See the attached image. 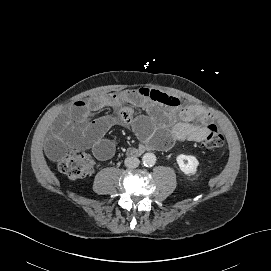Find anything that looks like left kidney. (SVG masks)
<instances>
[{"instance_id":"obj_1","label":"left kidney","mask_w":271,"mask_h":271,"mask_svg":"<svg viewBox=\"0 0 271 271\" xmlns=\"http://www.w3.org/2000/svg\"><path fill=\"white\" fill-rule=\"evenodd\" d=\"M180 170L187 176L194 175L197 172L199 161L193 155L180 154L176 158Z\"/></svg>"}]
</instances>
